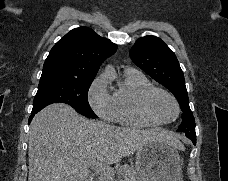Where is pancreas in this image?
Segmentation results:
<instances>
[{
  "instance_id": "cf45deb5",
  "label": "pancreas",
  "mask_w": 228,
  "mask_h": 181,
  "mask_svg": "<svg viewBox=\"0 0 228 181\" xmlns=\"http://www.w3.org/2000/svg\"><path fill=\"white\" fill-rule=\"evenodd\" d=\"M116 173L119 175V181H141L133 167H121V169H116ZM108 177H111V179H108ZM98 181H112V175H102V177H98Z\"/></svg>"
}]
</instances>
